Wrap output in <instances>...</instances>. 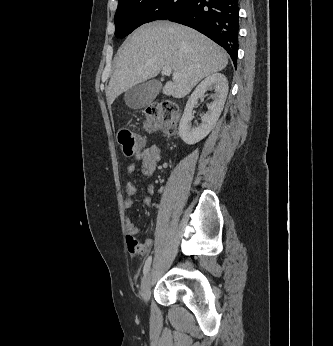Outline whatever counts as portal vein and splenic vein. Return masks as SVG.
<instances>
[{"mask_svg":"<svg viewBox=\"0 0 333 346\" xmlns=\"http://www.w3.org/2000/svg\"><path fill=\"white\" fill-rule=\"evenodd\" d=\"M162 73L163 75L170 76L172 73V70L169 67H163ZM178 77H179V74L173 73V78H178Z\"/></svg>","mask_w":333,"mask_h":346,"instance_id":"portal-vein-and-splenic-vein-1","label":"portal vein and splenic vein"}]
</instances>
